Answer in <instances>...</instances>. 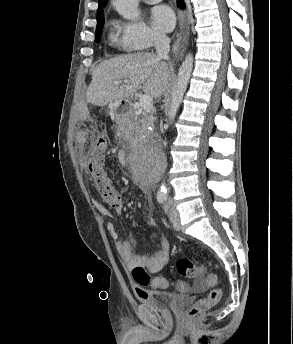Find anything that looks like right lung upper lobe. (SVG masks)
<instances>
[{"label": "right lung upper lobe", "mask_w": 293, "mask_h": 344, "mask_svg": "<svg viewBox=\"0 0 293 344\" xmlns=\"http://www.w3.org/2000/svg\"><path fill=\"white\" fill-rule=\"evenodd\" d=\"M108 0H98L99 8L97 12V18L100 16V14L103 12V8L106 6Z\"/></svg>", "instance_id": "obj_1"}]
</instances>
